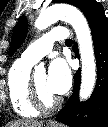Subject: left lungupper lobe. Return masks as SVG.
Returning <instances> with one entry per match:
<instances>
[{
  "label": "left lung upper lobe",
  "mask_w": 108,
  "mask_h": 127,
  "mask_svg": "<svg viewBox=\"0 0 108 127\" xmlns=\"http://www.w3.org/2000/svg\"><path fill=\"white\" fill-rule=\"evenodd\" d=\"M58 3H68L79 8L83 0H54ZM28 32V22L25 16H21L14 29L11 38L10 56L20 47Z\"/></svg>",
  "instance_id": "left-lung-upper-lobe-1"
}]
</instances>
